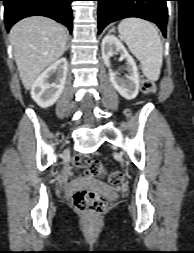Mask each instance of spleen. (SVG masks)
Here are the masks:
<instances>
[{"mask_svg": "<svg viewBox=\"0 0 194 253\" xmlns=\"http://www.w3.org/2000/svg\"><path fill=\"white\" fill-rule=\"evenodd\" d=\"M118 31L131 53L140 61L145 77L157 81L162 67L163 47L155 26L143 19L127 18L120 22Z\"/></svg>", "mask_w": 194, "mask_h": 253, "instance_id": "obj_1", "label": "spleen"}]
</instances>
